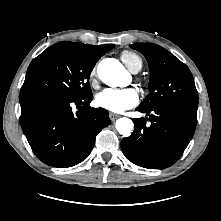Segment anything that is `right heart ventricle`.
Returning a JSON list of instances; mask_svg holds the SVG:
<instances>
[{"instance_id":"obj_1","label":"right heart ventricle","mask_w":221,"mask_h":221,"mask_svg":"<svg viewBox=\"0 0 221 221\" xmlns=\"http://www.w3.org/2000/svg\"><path fill=\"white\" fill-rule=\"evenodd\" d=\"M122 62L133 72L139 71L142 68V59L135 52L124 50L120 53Z\"/></svg>"}]
</instances>
